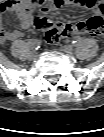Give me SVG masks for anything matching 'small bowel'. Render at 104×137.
<instances>
[{"label":"small bowel","mask_w":104,"mask_h":137,"mask_svg":"<svg viewBox=\"0 0 104 137\" xmlns=\"http://www.w3.org/2000/svg\"><path fill=\"white\" fill-rule=\"evenodd\" d=\"M49 1L51 2L50 6L42 9V15L37 18L34 17L33 11L35 8L39 7L44 2V0H7L3 4H1L0 12L2 15L7 12H15L19 20L20 27L24 30L29 29L33 24H35V26L37 27V23L40 20H44L46 24L56 25L46 17V14L50 11L57 10L59 7L66 4L91 9L94 12L95 16L99 17H101L104 13V4L102 0ZM91 18L87 20H79L74 23H69L62 26H69L72 30L76 31V33H85L84 29L88 26ZM0 26L3 31V38L5 40H16L23 35V33L19 30H6L5 22L3 20L1 21Z\"/></svg>","instance_id":"small-bowel-1"}]
</instances>
